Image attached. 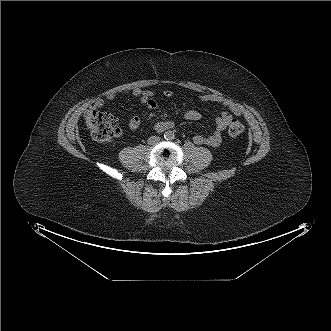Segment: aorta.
I'll return each instance as SVG.
<instances>
[{"label": "aorta", "instance_id": "obj_1", "mask_svg": "<svg viewBox=\"0 0 331 331\" xmlns=\"http://www.w3.org/2000/svg\"><path fill=\"white\" fill-rule=\"evenodd\" d=\"M164 138L165 139H173L174 138V132L168 130L164 133Z\"/></svg>", "mask_w": 331, "mask_h": 331}]
</instances>
